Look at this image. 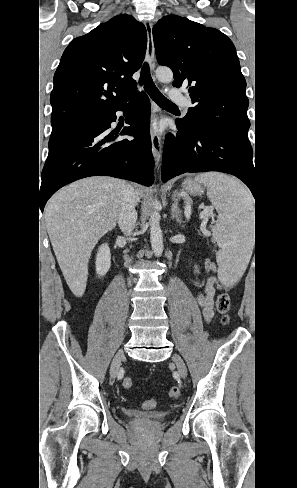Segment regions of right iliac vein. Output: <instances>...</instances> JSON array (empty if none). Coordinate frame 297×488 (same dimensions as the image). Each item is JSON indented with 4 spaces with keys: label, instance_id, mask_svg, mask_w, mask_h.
I'll return each instance as SVG.
<instances>
[{
    "label": "right iliac vein",
    "instance_id": "1",
    "mask_svg": "<svg viewBox=\"0 0 297 488\" xmlns=\"http://www.w3.org/2000/svg\"><path fill=\"white\" fill-rule=\"evenodd\" d=\"M123 359H124L123 350L117 351L110 368L111 378H115L116 375L118 374Z\"/></svg>",
    "mask_w": 297,
    "mask_h": 488
}]
</instances>
